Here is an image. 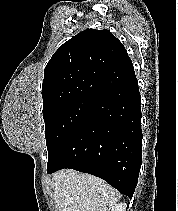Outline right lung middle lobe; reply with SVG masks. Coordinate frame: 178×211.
<instances>
[{"label":"right lung middle lobe","instance_id":"dd1d6c3e","mask_svg":"<svg viewBox=\"0 0 178 211\" xmlns=\"http://www.w3.org/2000/svg\"><path fill=\"white\" fill-rule=\"evenodd\" d=\"M97 100L76 98L43 109L48 157L86 116Z\"/></svg>","mask_w":178,"mask_h":211}]
</instances>
